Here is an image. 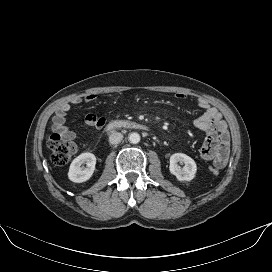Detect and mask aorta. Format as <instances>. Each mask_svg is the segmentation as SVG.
Returning a JSON list of instances; mask_svg holds the SVG:
<instances>
[{"label": "aorta", "instance_id": "1", "mask_svg": "<svg viewBox=\"0 0 272 272\" xmlns=\"http://www.w3.org/2000/svg\"><path fill=\"white\" fill-rule=\"evenodd\" d=\"M129 141L132 144H137L140 142V135L136 132H133L129 135Z\"/></svg>", "mask_w": 272, "mask_h": 272}]
</instances>
